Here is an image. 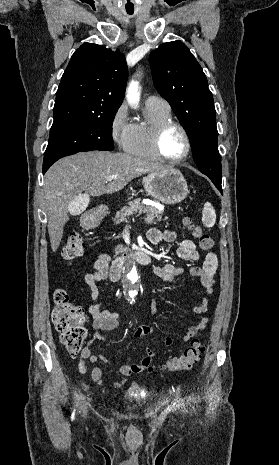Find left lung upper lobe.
I'll use <instances>...</instances> for the list:
<instances>
[{
    "label": "left lung upper lobe",
    "mask_w": 279,
    "mask_h": 465,
    "mask_svg": "<svg viewBox=\"0 0 279 465\" xmlns=\"http://www.w3.org/2000/svg\"><path fill=\"white\" fill-rule=\"evenodd\" d=\"M153 82L189 136L199 170L221 189L222 168L212 93L206 76L181 41L161 44L151 52Z\"/></svg>",
    "instance_id": "5c2ea615"
}]
</instances>
